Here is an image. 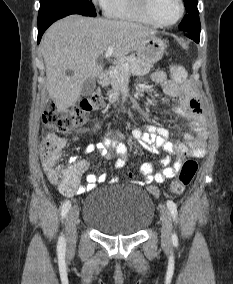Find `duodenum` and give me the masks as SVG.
<instances>
[{"label": "duodenum", "mask_w": 233, "mask_h": 284, "mask_svg": "<svg viewBox=\"0 0 233 284\" xmlns=\"http://www.w3.org/2000/svg\"><path fill=\"white\" fill-rule=\"evenodd\" d=\"M99 83L101 85H107L109 80H110V74L108 71H104L102 73H100L99 77H98Z\"/></svg>", "instance_id": "410a0bca"}]
</instances>
